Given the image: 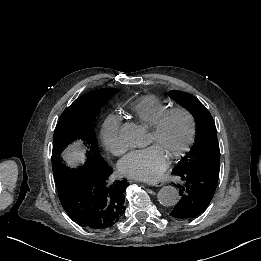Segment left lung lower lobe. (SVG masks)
<instances>
[{"instance_id": "0a47b994", "label": "left lung lower lobe", "mask_w": 261, "mask_h": 261, "mask_svg": "<svg viewBox=\"0 0 261 261\" xmlns=\"http://www.w3.org/2000/svg\"><path fill=\"white\" fill-rule=\"evenodd\" d=\"M180 179V198L170 215L176 219H191L202 214L210 204L218 184V173L199 168L173 169Z\"/></svg>"}]
</instances>
